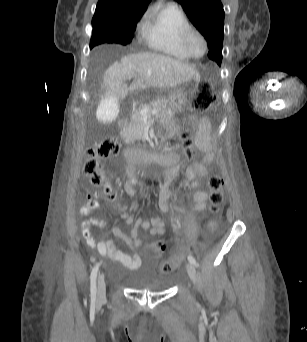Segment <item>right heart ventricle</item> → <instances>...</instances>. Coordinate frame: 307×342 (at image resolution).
I'll use <instances>...</instances> for the list:
<instances>
[{
	"instance_id": "obj_1",
	"label": "right heart ventricle",
	"mask_w": 307,
	"mask_h": 342,
	"mask_svg": "<svg viewBox=\"0 0 307 342\" xmlns=\"http://www.w3.org/2000/svg\"><path fill=\"white\" fill-rule=\"evenodd\" d=\"M190 23L191 17L185 9L169 8L162 14V25L158 33L134 37V50L188 62L190 58L182 49L180 38Z\"/></svg>"
}]
</instances>
